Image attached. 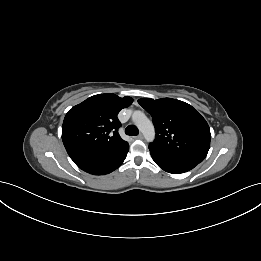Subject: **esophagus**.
Returning <instances> with one entry per match:
<instances>
[{
  "label": "esophagus",
  "mask_w": 261,
  "mask_h": 261,
  "mask_svg": "<svg viewBox=\"0 0 261 261\" xmlns=\"http://www.w3.org/2000/svg\"><path fill=\"white\" fill-rule=\"evenodd\" d=\"M136 139H143L144 138V136H143V134H139L138 136H136L135 137Z\"/></svg>",
  "instance_id": "esophagus-1"
}]
</instances>
